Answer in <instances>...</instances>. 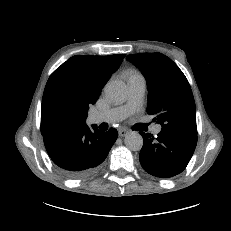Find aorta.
<instances>
[{
  "label": "aorta",
  "instance_id": "1",
  "mask_svg": "<svg viewBox=\"0 0 231 231\" xmlns=\"http://www.w3.org/2000/svg\"><path fill=\"white\" fill-rule=\"evenodd\" d=\"M105 93L111 101L120 103L126 97L127 88L122 81H111L105 86ZM125 145L131 151H139L143 146V138L136 131L129 132L125 137Z\"/></svg>",
  "mask_w": 231,
  "mask_h": 231
}]
</instances>
